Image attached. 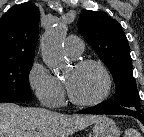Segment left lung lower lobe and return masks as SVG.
Returning a JSON list of instances; mask_svg holds the SVG:
<instances>
[{
  "instance_id": "left-lung-lower-lobe-1",
  "label": "left lung lower lobe",
  "mask_w": 144,
  "mask_h": 137,
  "mask_svg": "<svg viewBox=\"0 0 144 137\" xmlns=\"http://www.w3.org/2000/svg\"><path fill=\"white\" fill-rule=\"evenodd\" d=\"M83 114H110V115H130L139 119L144 125V115L141 109L133 111L127 108H110L105 103L79 111Z\"/></svg>"
}]
</instances>
